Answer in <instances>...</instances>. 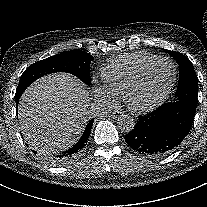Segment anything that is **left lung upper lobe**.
Returning a JSON list of instances; mask_svg holds the SVG:
<instances>
[{"instance_id":"1","label":"left lung upper lobe","mask_w":207,"mask_h":207,"mask_svg":"<svg viewBox=\"0 0 207 207\" xmlns=\"http://www.w3.org/2000/svg\"><path fill=\"white\" fill-rule=\"evenodd\" d=\"M179 64V84L173 102L178 101L192 107H197L198 80L190 60L182 53L164 49Z\"/></svg>"}]
</instances>
